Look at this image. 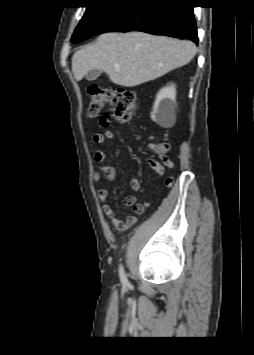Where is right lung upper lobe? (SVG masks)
<instances>
[{
    "label": "right lung upper lobe",
    "mask_w": 254,
    "mask_h": 355,
    "mask_svg": "<svg viewBox=\"0 0 254 355\" xmlns=\"http://www.w3.org/2000/svg\"><path fill=\"white\" fill-rule=\"evenodd\" d=\"M99 1H106V0H90L91 3L99 2ZM113 1H116V2H119V3H126V2H129V1H132V0H113Z\"/></svg>",
    "instance_id": "obj_1"
}]
</instances>
